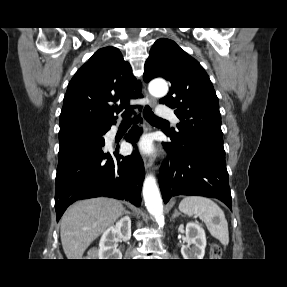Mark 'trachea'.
Segmentation results:
<instances>
[{
    "label": "trachea",
    "instance_id": "3493384b",
    "mask_svg": "<svg viewBox=\"0 0 287 287\" xmlns=\"http://www.w3.org/2000/svg\"><path fill=\"white\" fill-rule=\"evenodd\" d=\"M144 118L149 122V123H162V122H168L162 118L157 117L151 110L149 106H145L144 108ZM126 120H130V118H126Z\"/></svg>",
    "mask_w": 287,
    "mask_h": 287
}]
</instances>
